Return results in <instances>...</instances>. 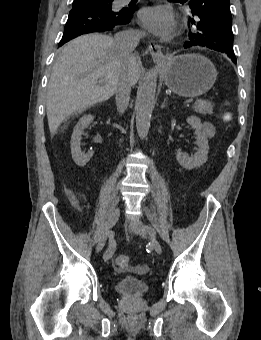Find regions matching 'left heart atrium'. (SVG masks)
I'll list each match as a JSON object with an SVG mask.
<instances>
[{"mask_svg":"<svg viewBox=\"0 0 261 340\" xmlns=\"http://www.w3.org/2000/svg\"><path fill=\"white\" fill-rule=\"evenodd\" d=\"M139 20L144 28L157 36H167L174 28L170 10L162 6L143 9L139 14Z\"/></svg>","mask_w":261,"mask_h":340,"instance_id":"obj_1","label":"left heart atrium"}]
</instances>
